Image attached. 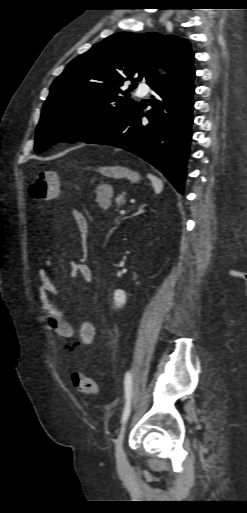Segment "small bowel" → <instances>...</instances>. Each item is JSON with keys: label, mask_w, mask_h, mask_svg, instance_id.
<instances>
[{"label": "small bowel", "mask_w": 247, "mask_h": 513, "mask_svg": "<svg viewBox=\"0 0 247 513\" xmlns=\"http://www.w3.org/2000/svg\"><path fill=\"white\" fill-rule=\"evenodd\" d=\"M70 217L80 233L82 241L85 243L89 234V225L85 216L81 212L73 210ZM70 267L71 272L85 286L91 282L92 272L85 262L75 260L71 262ZM35 276L38 282L36 297L41 309L48 318V326L67 343L75 345L76 350L84 351L88 349L96 338L95 326L83 316H77L74 324L67 322L65 320V310L53 301V297L60 293L58 284L44 269H36Z\"/></svg>", "instance_id": "c3829d8e"}]
</instances>
